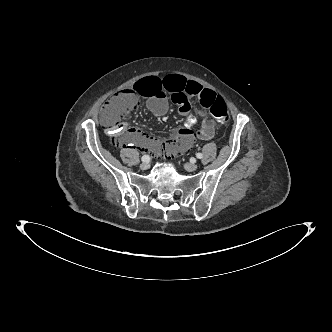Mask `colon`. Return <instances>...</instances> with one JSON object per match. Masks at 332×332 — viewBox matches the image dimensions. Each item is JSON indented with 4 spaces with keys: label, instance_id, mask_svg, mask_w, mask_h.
<instances>
[{
    "label": "colon",
    "instance_id": "colon-1",
    "mask_svg": "<svg viewBox=\"0 0 332 332\" xmlns=\"http://www.w3.org/2000/svg\"><path fill=\"white\" fill-rule=\"evenodd\" d=\"M155 76V75H153ZM138 105L136 92L125 90L112 97L103 108V121L107 128L112 131L114 136V144H121V120L130 112L135 110ZM210 112L220 125H227L229 122V111L220 97H215L210 105ZM209 111L206 106L197 104L192 107L191 111L178 121V128L182 132L193 131L199 123L207 120ZM176 153V152H175ZM175 153L168 154L169 157Z\"/></svg>",
    "mask_w": 332,
    "mask_h": 332
}]
</instances>
